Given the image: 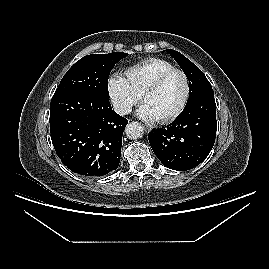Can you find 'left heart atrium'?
<instances>
[{
  "mask_svg": "<svg viewBox=\"0 0 269 269\" xmlns=\"http://www.w3.org/2000/svg\"><path fill=\"white\" fill-rule=\"evenodd\" d=\"M136 114L145 121H156L158 119L150 106L145 102L138 107Z\"/></svg>",
  "mask_w": 269,
  "mask_h": 269,
  "instance_id": "obj_1",
  "label": "left heart atrium"
}]
</instances>
